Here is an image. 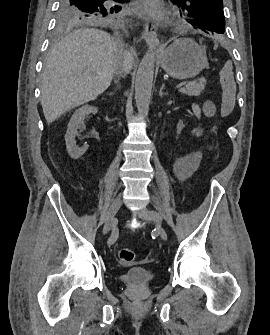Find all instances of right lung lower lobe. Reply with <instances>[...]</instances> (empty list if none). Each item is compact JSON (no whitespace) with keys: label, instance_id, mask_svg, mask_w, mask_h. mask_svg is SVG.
Segmentation results:
<instances>
[{"label":"right lung lower lobe","instance_id":"right-lung-lower-lobe-1","mask_svg":"<svg viewBox=\"0 0 270 335\" xmlns=\"http://www.w3.org/2000/svg\"><path fill=\"white\" fill-rule=\"evenodd\" d=\"M105 1H106V0H105ZM105 1H104V2H105ZM113 1H114V0H113ZM118 1H119V2H122V4H123L124 2H127V1H129V0H118ZM103 4H104V3H103ZM110 4H111L113 7L116 5L115 2H114V3H110ZM107 5H109V3H108ZM107 5L104 4V6H107ZM119 6H121V4H120Z\"/></svg>","mask_w":270,"mask_h":335}]
</instances>
